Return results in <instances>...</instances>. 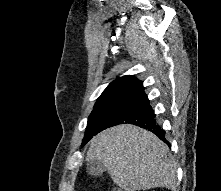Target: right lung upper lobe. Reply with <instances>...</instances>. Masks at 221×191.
Instances as JSON below:
<instances>
[{
  "label": "right lung upper lobe",
  "instance_id": "right-lung-upper-lobe-1",
  "mask_svg": "<svg viewBox=\"0 0 221 191\" xmlns=\"http://www.w3.org/2000/svg\"><path fill=\"white\" fill-rule=\"evenodd\" d=\"M141 84L142 82L137 80L134 76H124L118 78L108 85L101 96L97 99L95 105L110 101H119L127 93L140 86Z\"/></svg>",
  "mask_w": 221,
  "mask_h": 191
}]
</instances>
